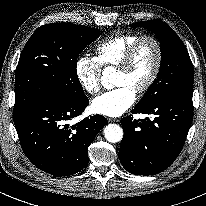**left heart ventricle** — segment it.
<instances>
[{"mask_svg":"<svg viewBox=\"0 0 206 206\" xmlns=\"http://www.w3.org/2000/svg\"><path fill=\"white\" fill-rule=\"evenodd\" d=\"M156 61V49L152 42L144 41L136 54L134 63L127 73L117 72L116 86H127L136 91L152 73Z\"/></svg>","mask_w":206,"mask_h":206,"instance_id":"obj_1","label":"left heart ventricle"}]
</instances>
